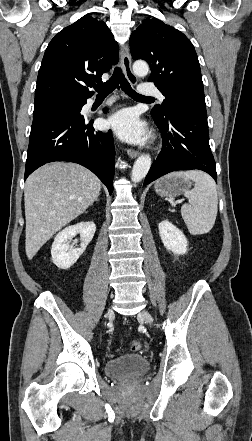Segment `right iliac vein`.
Here are the masks:
<instances>
[{"label":"right iliac vein","mask_w":252,"mask_h":441,"mask_svg":"<svg viewBox=\"0 0 252 441\" xmlns=\"http://www.w3.org/2000/svg\"><path fill=\"white\" fill-rule=\"evenodd\" d=\"M113 315V310L110 308L109 310H108V312H107V316H112Z\"/></svg>","instance_id":"1"}]
</instances>
